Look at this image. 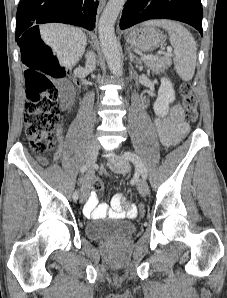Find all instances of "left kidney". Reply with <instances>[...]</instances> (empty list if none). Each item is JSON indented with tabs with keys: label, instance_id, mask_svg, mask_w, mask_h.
<instances>
[{
	"label": "left kidney",
	"instance_id": "5707ae66",
	"mask_svg": "<svg viewBox=\"0 0 227 298\" xmlns=\"http://www.w3.org/2000/svg\"><path fill=\"white\" fill-rule=\"evenodd\" d=\"M175 100V91L172 83L165 77L161 78L158 97L153 105L156 115L165 116L169 111V104Z\"/></svg>",
	"mask_w": 227,
	"mask_h": 298
}]
</instances>
